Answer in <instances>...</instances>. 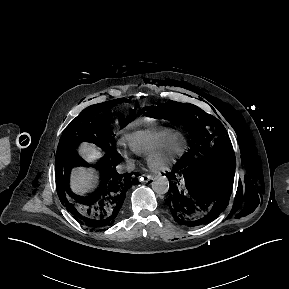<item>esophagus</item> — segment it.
I'll list each match as a JSON object with an SVG mask.
<instances>
[{
    "label": "esophagus",
    "mask_w": 289,
    "mask_h": 289,
    "mask_svg": "<svg viewBox=\"0 0 289 289\" xmlns=\"http://www.w3.org/2000/svg\"><path fill=\"white\" fill-rule=\"evenodd\" d=\"M153 180V176L152 175H149V174H144L142 177H141V181L142 182H145V183H148L149 181Z\"/></svg>",
    "instance_id": "esophagus-1"
}]
</instances>
